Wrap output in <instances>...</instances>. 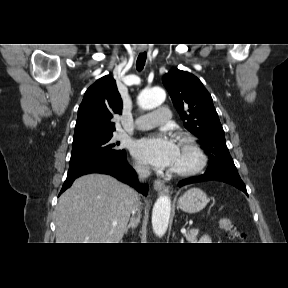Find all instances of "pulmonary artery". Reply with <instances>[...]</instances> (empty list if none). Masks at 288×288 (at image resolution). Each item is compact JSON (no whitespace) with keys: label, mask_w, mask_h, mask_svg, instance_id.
Listing matches in <instances>:
<instances>
[{"label":"pulmonary artery","mask_w":288,"mask_h":288,"mask_svg":"<svg viewBox=\"0 0 288 288\" xmlns=\"http://www.w3.org/2000/svg\"><path fill=\"white\" fill-rule=\"evenodd\" d=\"M171 117L167 107L157 108L155 111L142 115L135 124L139 130H148L155 127L166 125Z\"/></svg>","instance_id":"1"}]
</instances>
